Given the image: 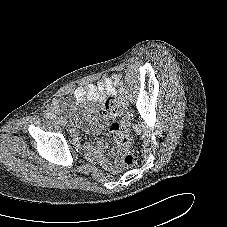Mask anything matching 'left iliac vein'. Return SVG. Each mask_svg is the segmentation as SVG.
<instances>
[{"label":"left iliac vein","instance_id":"left-iliac-vein-1","mask_svg":"<svg viewBox=\"0 0 227 227\" xmlns=\"http://www.w3.org/2000/svg\"><path fill=\"white\" fill-rule=\"evenodd\" d=\"M120 100L124 107H127L129 105V102L127 101V99L124 96H121Z\"/></svg>","mask_w":227,"mask_h":227}]
</instances>
